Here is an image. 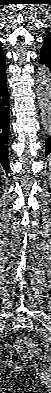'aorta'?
<instances>
[{"label": "aorta", "mask_w": 51, "mask_h": 393, "mask_svg": "<svg viewBox=\"0 0 51 393\" xmlns=\"http://www.w3.org/2000/svg\"><path fill=\"white\" fill-rule=\"evenodd\" d=\"M36 95L41 111L42 124L46 132L51 131V75L45 65L38 67Z\"/></svg>", "instance_id": "aorta-1"}]
</instances>
